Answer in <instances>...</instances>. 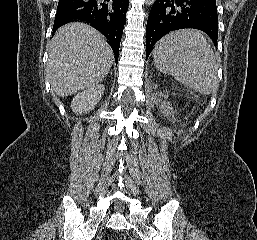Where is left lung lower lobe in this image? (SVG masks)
Listing matches in <instances>:
<instances>
[{
    "label": "left lung lower lobe",
    "mask_w": 257,
    "mask_h": 240,
    "mask_svg": "<svg viewBox=\"0 0 257 240\" xmlns=\"http://www.w3.org/2000/svg\"><path fill=\"white\" fill-rule=\"evenodd\" d=\"M192 28L217 44L216 0H155L146 26V59L155 43L170 31Z\"/></svg>",
    "instance_id": "left-lung-lower-lobe-1"
}]
</instances>
